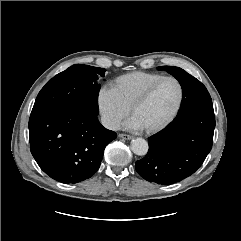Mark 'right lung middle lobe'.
Listing matches in <instances>:
<instances>
[{
    "label": "right lung middle lobe",
    "instance_id": "obj_1",
    "mask_svg": "<svg viewBox=\"0 0 241 241\" xmlns=\"http://www.w3.org/2000/svg\"><path fill=\"white\" fill-rule=\"evenodd\" d=\"M105 69L76 64L54 76L39 92L32 113L73 107L98 115L99 79Z\"/></svg>",
    "mask_w": 241,
    "mask_h": 241
}]
</instances>
